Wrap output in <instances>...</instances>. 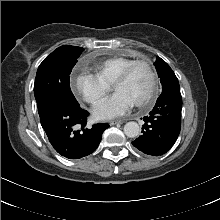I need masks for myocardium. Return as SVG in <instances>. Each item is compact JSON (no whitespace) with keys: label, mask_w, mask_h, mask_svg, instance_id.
Instances as JSON below:
<instances>
[{"label":"myocardium","mask_w":220,"mask_h":220,"mask_svg":"<svg viewBox=\"0 0 220 220\" xmlns=\"http://www.w3.org/2000/svg\"><path fill=\"white\" fill-rule=\"evenodd\" d=\"M139 66L146 67L150 75V89H149L148 94L146 95L144 99L135 103V105L138 107H144V106L151 104L155 100L157 96V92H158L157 74L150 60L142 59V60H135L134 62H132L117 77V79L114 81V86L127 81L129 77L131 76L132 72Z\"/></svg>","instance_id":"1"}]
</instances>
